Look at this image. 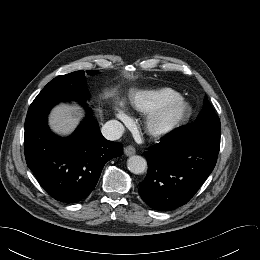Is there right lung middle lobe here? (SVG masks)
<instances>
[{
	"mask_svg": "<svg viewBox=\"0 0 260 260\" xmlns=\"http://www.w3.org/2000/svg\"><path fill=\"white\" fill-rule=\"evenodd\" d=\"M95 74L97 71H86ZM89 98L86 87L84 71H76L66 75H60L51 80L38 94L33 102L38 101H80L85 102Z\"/></svg>",
	"mask_w": 260,
	"mask_h": 260,
	"instance_id": "obj_1",
	"label": "right lung middle lobe"
}]
</instances>
